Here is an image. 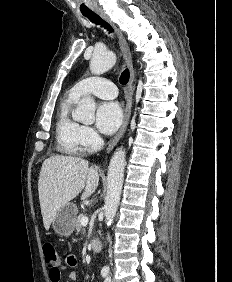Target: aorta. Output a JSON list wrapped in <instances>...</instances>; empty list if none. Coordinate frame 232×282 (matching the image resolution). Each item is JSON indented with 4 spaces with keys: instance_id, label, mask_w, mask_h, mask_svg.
Returning a JSON list of instances; mask_svg holds the SVG:
<instances>
[{
    "instance_id": "762f6f07",
    "label": "aorta",
    "mask_w": 232,
    "mask_h": 282,
    "mask_svg": "<svg viewBox=\"0 0 232 282\" xmlns=\"http://www.w3.org/2000/svg\"><path fill=\"white\" fill-rule=\"evenodd\" d=\"M116 55L108 50H96L90 60V70L93 74L99 75L114 66ZM96 103L90 96L83 97L78 103L73 114L76 121L91 124L95 120ZM125 150L118 148L109 163L107 174V193L104 204V215L107 226L111 225L116 215L123 186V176L125 167ZM104 271H109L108 266L103 267Z\"/></svg>"
}]
</instances>
